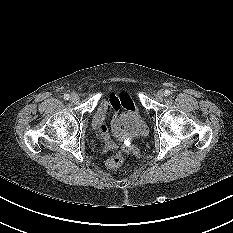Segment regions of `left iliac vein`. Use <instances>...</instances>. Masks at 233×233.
Listing matches in <instances>:
<instances>
[{"label": "left iliac vein", "instance_id": "1", "mask_svg": "<svg viewBox=\"0 0 233 233\" xmlns=\"http://www.w3.org/2000/svg\"><path fill=\"white\" fill-rule=\"evenodd\" d=\"M156 98L159 99V100L163 99L164 98V92L162 90L158 91L156 93Z\"/></svg>", "mask_w": 233, "mask_h": 233}]
</instances>
